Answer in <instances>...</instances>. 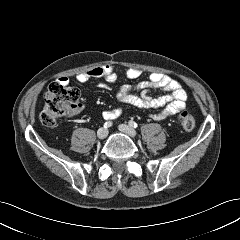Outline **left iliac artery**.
Returning <instances> with one entry per match:
<instances>
[{"label": "left iliac artery", "instance_id": "1", "mask_svg": "<svg viewBox=\"0 0 240 240\" xmlns=\"http://www.w3.org/2000/svg\"><path fill=\"white\" fill-rule=\"evenodd\" d=\"M129 125L131 126V127H133V128H137V123L136 122H134V121H129Z\"/></svg>", "mask_w": 240, "mask_h": 240}]
</instances>
